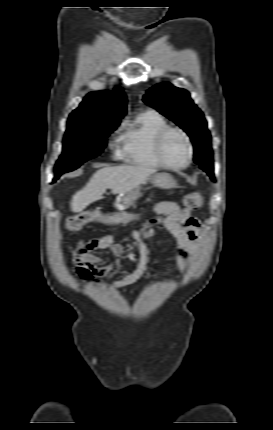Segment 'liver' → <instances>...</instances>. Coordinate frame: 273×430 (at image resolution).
I'll list each match as a JSON object with an SVG mask.
<instances>
[{
	"label": "liver",
	"instance_id": "6515ba94",
	"mask_svg": "<svg viewBox=\"0 0 273 430\" xmlns=\"http://www.w3.org/2000/svg\"><path fill=\"white\" fill-rule=\"evenodd\" d=\"M155 172V169L141 165L104 167L95 172L89 182L72 196L71 211L81 212L91 203L102 199L108 188L113 194L130 192Z\"/></svg>",
	"mask_w": 273,
	"mask_h": 430
}]
</instances>
